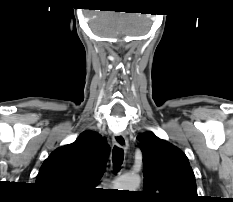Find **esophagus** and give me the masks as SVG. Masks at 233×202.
Returning a JSON list of instances; mask_svg holds the SVG:
<instances>
[{
	"label": "esophagus",
	"instance_id": "1",
	"mask_svg": "<svg viewBox=\"0 0 233 202\" xmlns=\"http://www.w3.org/2000/svg\"><path fill=\"white\" fill-rule=\"evenodd\" d=\"M113 141L120 148H123V149L128 148V140L124 134H115L113 136Z\"/></svg>",
	"mask_w": 233,
	"mask_h": 202
}]
</instances>
